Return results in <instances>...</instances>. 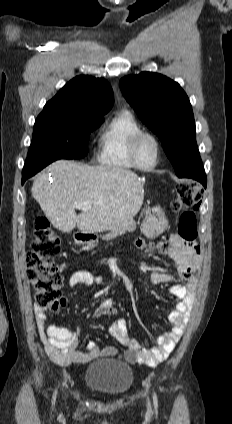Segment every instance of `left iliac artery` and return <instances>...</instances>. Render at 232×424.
I'll list each match as a JSON object with an SVG mask.
<instances>
[{"label": "left iliac artery", "instance_id": "1", "mask_svg": "<svg viewBox=\"0 0 232 424\" xmlns=\"http://www.w3.org/2000/svg\"><path fill=\"white\" fill-rule=\"evenodd\" d=\"M153 401H154L155 408H157V406H158V400H157V396H156L155 393L153 394Z\"/></svg>", "mask_w": 232, "mask_h": 424}]
</instances>
